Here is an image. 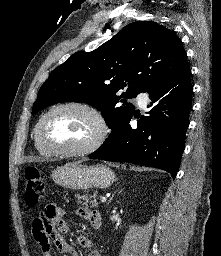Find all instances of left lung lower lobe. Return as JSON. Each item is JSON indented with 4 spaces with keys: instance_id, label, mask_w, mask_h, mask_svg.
I'll return each instance as SVG.
<instances>
[{
    "instance_id": "1",
    "label": "left lung lower lobe",
    "mask_w": 221,
    "mask_h": 256,
    "mask_svg": "<svg viewBox=\"0 0 221 256\" xmlns=\"http://www.w3.org/2000/svg\"><path fill=\"white\" fill-rule=\"evenodd\" d=\"M190 76L191 70L186 64L179 72L150 89L148 107L155 105L149 112L150 116H142L137 129L130 126L132 116L112 130L89 158L155 167L168 171L174 179L189 126L193 93Z\"/></svg>"
}]
</instances>
